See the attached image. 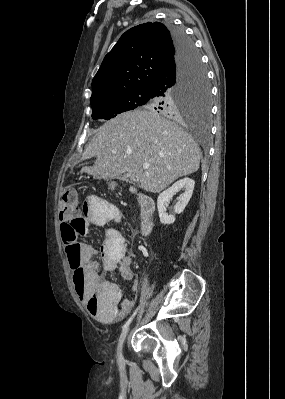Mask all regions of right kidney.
<instances>
[{
	"label": "right kidney",
	"mask_w": 285,
	"mask_h": 399,
	"mask_svg": "<svg viewBox=\"0 0 285 399\" xmlns=\"http://www.w3.org/2000/svg\"><path fill=\"white\" fill-rule=\"evenodd\" d=\"M194 185L195 182L193 179L184 178L174 183L170 188L159 195L157 199V208L162 224H172L175 222V216L166 213L167 204L170 199H172L173 195L179 190H184V193L179 197L178 202L174 206V212L180 214L184 211L193 194Z\"/></svg>",
	"instance_id": "1"
}]
</instances>
